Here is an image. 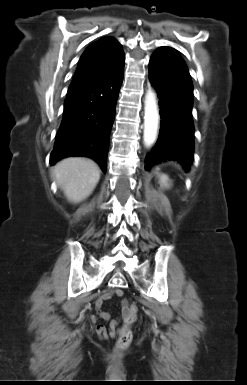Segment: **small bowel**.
Wrapping results in <instances>:
<instances>
[{
    "instance_id": "obj_1",
    "label": "small bowel",
    "mask_w": 247,
    "mask_h": 385,
    "mask_svg": "<svg viewBox=\"0 0 247 385\" xmlns=\"http://www.w3.org/2000/svg\"><path fill=\"white\" fill-rule=\"evenodd\" d=\"M122 295H123V291L121 289L113 288V289L107 291L106 293H104L101 297H99L95 301L96 314L91 316V321L93 323H96L95 333L102 340H107L109 338H115L120 332V328H119L120 320L125 319V317L127 315V311H126L127 306L124 303V307L121 311L120 317L112 319L110 313L102 310L103 302L105 300L112 298L113 296L120 297ZM100 319L109 322L108 328H106L103 324L97 323L98 320H100Z\"/></svg>"
}]
</instances>
